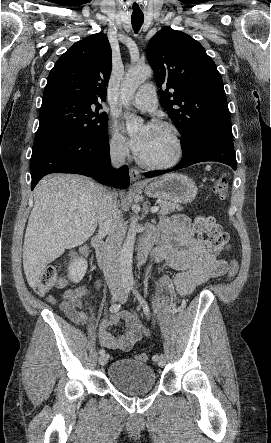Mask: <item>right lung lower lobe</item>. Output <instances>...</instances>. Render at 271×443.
<instances>
[{"label": "right lung lower lobe", "mask_w": 271, "mask_h": 443, "mask_svg": "<svg viewBox=\"0 0 271 443\" xmlns=\"http://www.w3.org/2000/svg\"><path fill=\"white\" fill-rule=\"evenodd\" d=\"M31 189L50 173H75L94 178L105 185L125 189L130 178L127 166L112 169L108 132L93 138L49 133L34 140L30 160Z\"/></svg>", "instance_id": "98d812e1"}]
</instances>
